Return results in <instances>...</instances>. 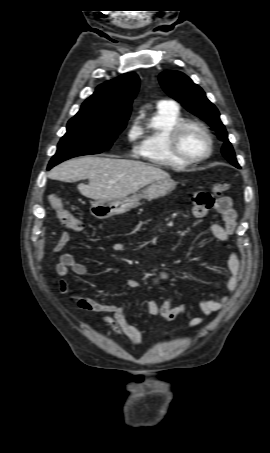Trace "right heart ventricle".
Instances as JSON below:
<instances>
[{"label": "right heart ventricle", "instance_id": "obj_1", "mask_svg": "<svg viewBox=\"0 0 270 453\" xmlns=\"http://www.w3.org/2000/svg\"><path fill=\"white\" fill-rule=\"evenodd\" d=\"M184 118L176 105L158 107L140 130L141 142L138 155L147 162L170 168H184L189 164L177 159L169 147V135L172 129Z\"/></svg>", "mask_w": 270, "mask_h": 453}]
</instances>
